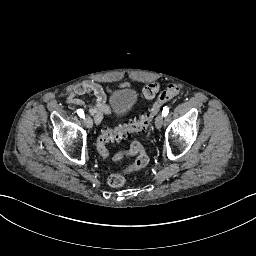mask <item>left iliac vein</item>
<instances>
[{
	"mask_svg": "<svg viewBox=\"0 0 256 256\" xmlns=\"http://www.w3.org/2000/svg\"><path fill=\"white\" fill-rule=\"evenodd\" d=\"M163 122H164L163 115H161V114L157 115L156 120H155V125L158 130L161 129V127L163 126Z\"/></svg>",
	"mask_w": 256,
	"mask_h": 256,
	"instance_id": "1",
	"label": "left iliac vein"
}]
</instances>
